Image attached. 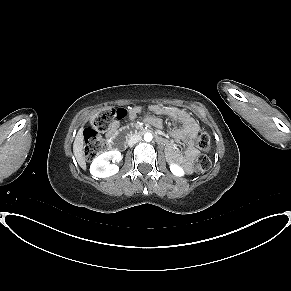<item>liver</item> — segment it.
I'll return each mask as SVG.
<instances>
[{"instance_id": "liver-1", "label": "liver", "mask_w": 291, "mask_h": 291, "mask_svg": "<svg viewBox=\"0 0 291 291\" xmlns=\"http://www.w3.org/2000/svg\"><path fill=\"white\" fill-rule=\"evenodd\" d=\"M84 138H83V128H81L76 137H75V140H74V143H73V153H74V156L77 160V163L79 164V166L85 170L86 169V161H85V158L83 156V145H84V142H83Z\"/></svg>"}]
</instances>
